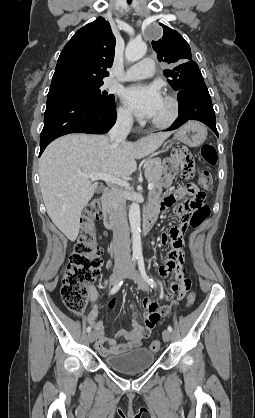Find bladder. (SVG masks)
I'll return each instance as SVG.
<instances>
[{"mask_svg": "<svg viewBox=\"0 0 255 418\" xmlns=\"http://www.w3.org/2000/svg\"><path fill=\"white\" fill-rule=\"evenodd\" d=\"M155 361L152 350L139 347L131 351L110 355L104 358L105 364L121 373H134L148 369Z\"/></svg>", "mask_w": 255, "mask_h": 418, "instance_id": "31cf9c89", "label": "bladder"}]
</instances>
